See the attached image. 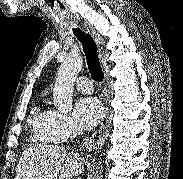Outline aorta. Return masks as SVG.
Segmentation results:
<instances>
[{"mask_svg": "<svg viewBox=\"0 0 183 179\" xmlns=\"http://www.w3.org/2000/svg\"><path fill=\"white\" fill-rule=\"evenodd\" d=\"M82 65L81 56H68L61 64L53 89V104L59 111L72 110L74 82Z\"/></svg>", "mask_w": 183, "mask_h": 179, "instance_id": "obj_1", "label": "aorta"}]
</instances>
